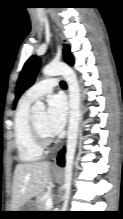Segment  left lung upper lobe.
<instances>
[{
  "label": "left lung upper lobe",
  "mask_w": 123,
  "mask_h": 219,
  "mask_svg": "<svg viewBox=\"0 0 123 219\" xmlns=\"http://www.w3.org/2000/svg\"><path fill=\"white\" fill-rule=\"evenodd\" d=\"M63 53H64V60L68 64L73 65L74 64L73 56L70 52V48L68 45L64 47ZM40 63H41V59L36 55L31 56L25 63L17 82L16 92H15L16 98L14 100V105L17 103L21 94L34 83V80L40 68Z\"/></svg>",
  "instance_id": "left-lung-upper-lobe-1"
}]
</instances>
